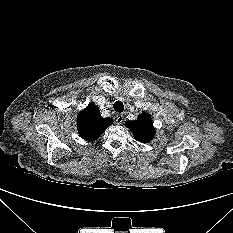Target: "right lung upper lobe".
Wrapping results in <instances>:
<instances>
[{
    "mask_svg": "<svg viewBox=\"0 0 233 233\" xmlns=\"http://www.w3.org/2000/svg\"><path fill=\"white\" fill-rule=\"evenodd\" d=\"M113 124L111 118H103L99 108L94 103H90L77 116V129L79 135L87 140L94 141L99 138L107 127Z\"/></svg>",
    "mask_w": 233,
    "mask_h": 233,
    "instance_id": "obj_1",
    "label": "right lung upper lobe"
}]
</instances>
